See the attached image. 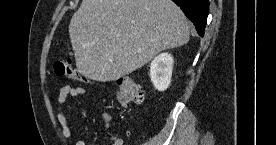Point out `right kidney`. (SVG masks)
<instances>
[{
  "label": "right kidney",
  "mask_w": 276,
  "mask_h": 145,
  "mask_svg": "<svg viewBox=\"0 0 276 145\" xmlns=\"http://www.w3.org/2000/svg\"><path fill=\"white\" fill-rule=\"evenodd\" d=\"M173 57L169 53H162L155 57L150 65V78L158 91H165L170 83L173 70Z\"/></svg>",
  "instance_id": "1"
}]
</instances>
